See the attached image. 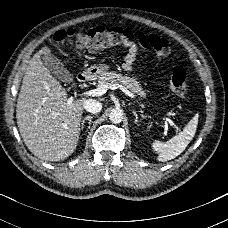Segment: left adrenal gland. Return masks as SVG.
Listing matches in <instances>:
<instances>
[{
	"label": "left adrenal gland",
	"instance_id": "left-adrenal-gland-1",
	"mask_svg": "<svg viewBox=\"0 0 228 228\" xmlns=\"http://www.w3.org/2000/svg\"><path fill=\"white\" fill-rule=\"evenodd\" d=\"M133 115L135 116V121L138 122V115H137V113H133Z\"/></svg>",
	"mask_w": 228,
	"mask_h": 228
}]
</instances>
